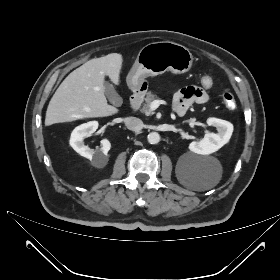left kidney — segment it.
<instances>
[{
  "label": "left kidney",
  "mask_w": 280,
  "mask_h": 280,
  "mask_svg": "<svg viewBox=\"0 0 280 280\" xmlns=\"http://www.w3.org/2000/svg\"><path fill=\"white\" fill-rule=\"evenodd\" d=\"M207 124L217 127L218 133L207 132L200 141L191 142L189 150L196 154H212L228 143L232 136L233 125L226 120L210 117Z\"/></svg>",
  "instance_id": "5707ae66"
}]
</instances>
